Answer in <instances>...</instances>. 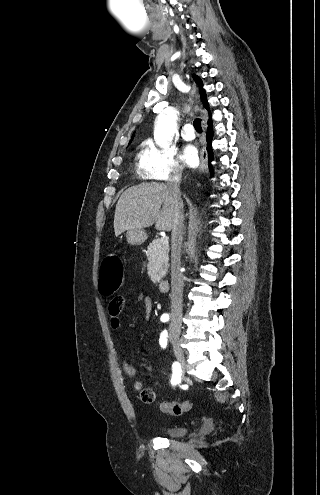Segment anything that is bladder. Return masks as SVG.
<instances>
[{
  "instance_id": "obj_1",
  "label": "bladder",
  "mask_w": 320,
  "mask_h": 495,
  "mask_svg": "<svg viewBox=\"0 0 320 495\" xmlns=\"http://www.w3.org/2000/svg\"><path fill=\"white\" fill-rule=\"evenodd\" d=\"M187 431L188 428L185 426H166L159 429L161 434L169 437H179L186 434Z\"/></svg>"
}]
</instances>
